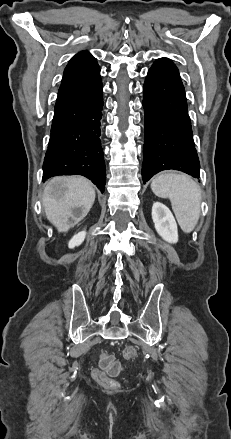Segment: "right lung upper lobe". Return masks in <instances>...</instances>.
Wrapping results in <instances>:
<instances>
[{"label": "right lung upper lobe", "instance_id": "1", "mask_svg": "<svg viewBox=\"0 0 231 439\" xmlns=\"http://www.w3.org/2000/svg\"><path fill=\"white\" fill-rule=\"evenodd\" d=\"M99 73L100 69L96 59L87 51L79 52L65 68L58 95L89 82Z\"/></svg>", "mask_w": 231, "mask_h": 439}]
</instances>
